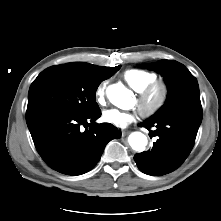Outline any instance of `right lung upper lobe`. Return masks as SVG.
Listing matches in <instances>:
<instances>
[{
    "label": "right lung upper lobe",
    "instance_id": "1",
    "mask_svg": "<svg viewBox=\"0 0 221 221\" xmlns=\"http://www.w3.org/2000/svg\"><path fill=\"white\" fill-rule=\"evenodd\" d=\"M64 65L95 78H102L109 75L114 68V67L96 66L84 62H72Z\"/></svg>",
    "mask_w": 221,
    "mask_h": 221
}]
</instances>
